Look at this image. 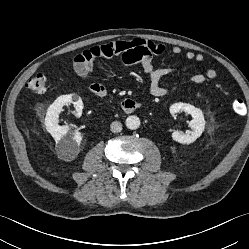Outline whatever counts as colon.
Returning <instances> with one entry per match:
<instances>
[{
  "label": "colon",
  "instance_id": "colon-1",
  "mask_svg": "<svg viewBox=\"0 0 249 249\" xmlns=\"http://www.w3.org/2000/svg\"><path fill=\"white\" fill-rule=\"evenodd\" d=\"M47 76L44 73H38L27 82V89L33 93L41 94L46 91ZM232 109L236 114H243L246 106L242 99L236 98L232 102Z\"/></svg>",
  "mask_w": 249,
  "mask_h": 249
}]
</instances>
